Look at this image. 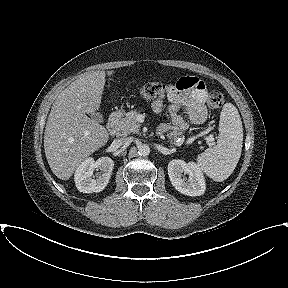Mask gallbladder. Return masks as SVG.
<instances>
[{"instance_id": "bac80fb5", "label": "gallbladder", "mask_w": 288, "mask_h": 288, "mask_svg": "<svg viewBox=\"0 0 288 288\" xmlns=\"http://www.w3.org/2000/svg\"><path fill=\"white\" fill-rule=\"evenodd\" d=\"M90 117L98 123L103 122V117L99 112L90 113Z\"/></svg>"}]
</instances>
